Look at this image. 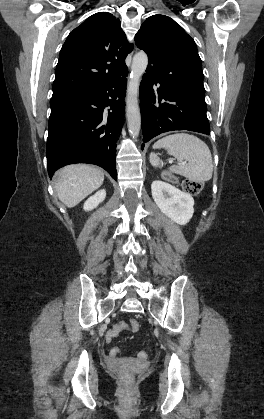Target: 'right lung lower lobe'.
Segmentation results:
<instances>
[{"instance_id": "1", "label": "right lung lower lobe", "mask_w": 264, "mask_h": 419, "mask_svg": "<svg viewBox=\"0 0 264 419\" xmlns=\"http://www.w3.org/2000/svg\"><path fill=\"white\" fill-rule=\"evenodd\" d=\"M127 75L128 70L93 90L52 96L46 148L49 177L65 165L90 163L117 180L116 143L124 122Z\"/></svg>"}]
</instances>
